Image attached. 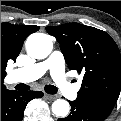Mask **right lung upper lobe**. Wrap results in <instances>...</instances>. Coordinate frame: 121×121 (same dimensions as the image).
<instances>
[{"label":"right lung upper lobe","instance_id":"obj_1","mask_svg":"<svg viewBox=\"0 0 121 121\" xmlns=\"http://www.w3.org/2000/svg\"><path fill=\"white\" fill-rule=\"evenodd\" d=\"M37 30L38 26L1 23V91L5 90L3 80L8 60L17 58L26 37Z\"/></svg>","mask_w":121,"mask_h":121}]
</instances>
